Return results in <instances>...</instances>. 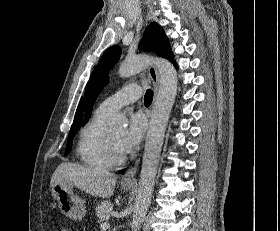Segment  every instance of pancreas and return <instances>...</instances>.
<instances>
[{
	"label": "pancreas",
	"instance_id": "pancreas-1",
	"mask_svg": "<svg viewBox=\"0 0 280 231\" xmlns=\"http://www.w3.org/2000/svg\"><path fill=\"white\" fill-rule=\"evenodd\" d=\"M113 207L114 205L111 201H101V203L97 205L95 211L99 217V223L104 221V219H107V217H110L111 213H113Z\"/></svg>",
	"mask_w": 280,
	"mask_h": 231
}]
</instances>
